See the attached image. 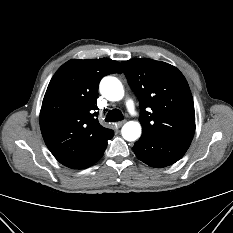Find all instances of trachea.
Wrapping results in <instances>:
<instances>
[{
	"instance_id": "obj_1",
	"label": "trachea",
	"mask_w": 233,
	"mask_h": 233,
	"mask_svg": "<svg viewBox=\"0 0 233 233\" xmlns=\"http://www.w3.org/2000/svg\"><path fill=\"white\" fill-rule=\"evenodd\" d=\"M107 122H116L123 120V114L119 109L110 110L107 113L106 119Z\"/></svg>"
}]
</instances>
